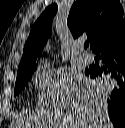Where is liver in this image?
<instances>
[{"label":"liver","mask_w":125,"mask_h":128,"mask_svg":"<svg viewBox=\"0 0 125 128\" xmlns=\"http://www.w3.org/2000/svg\"><path fill=\"white\" fill-rule=\"evenodd\" d=\"M107 93L96 81L81 76L63 78L51 87L50 99H38L43 107L22 120L37 128H110L105 114ZM48 98V96H47Z\"/></svg>","instance_id":"1"}]
</instances>
